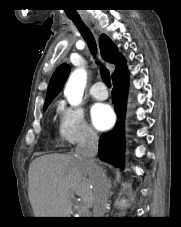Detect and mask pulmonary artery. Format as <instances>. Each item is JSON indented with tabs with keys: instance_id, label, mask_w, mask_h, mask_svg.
Masks as SVG:
<instances>
[{
	"instance_id": "obj_1",
	"label": "pulmonary artery",
	"mask_w": 181,
	"mask_h": 227,
	"mask_svg": "<svg viewBox=\"0 0 181 227\" xmlns=\"http://www.w3.org/2000/svg\"><path fill=\"white\" fill-rule=\"evenodd\" d=\"M90 95L96 100H105L108 97V91L102 82H96L90 88Z\"/></svg>"
}]
</instances>
